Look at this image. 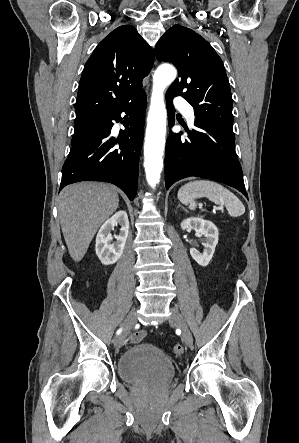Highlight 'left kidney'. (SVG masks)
Here are the masks:
<instances>
[{"instance_id": "obj_1", "label": "left kidney", "mask_w": 299, "mask_h": 443, "mask_svg": "<svg viewBox=\"0 0 299 443\" xmlns=\"http://www.w3.org/2000/svg\"><path fill=\"white\" fill-rule=\"evenodd\" d=\"M182 230L193 229L205 236L204 252L201 254L195 248L190 249L192 258L201 266H207L212 259L216 245L218 244V229L209 220L193 217L183 220L181 223Z\"/></svg>"}]
</instances>
